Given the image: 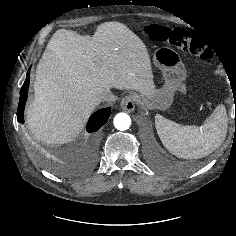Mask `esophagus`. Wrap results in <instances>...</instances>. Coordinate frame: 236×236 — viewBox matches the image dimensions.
I'll return each instance as SVG.
<instances>
[{
	"label": "esophagus",
	"instance_id": "1",
	"mask_svg": "<svg viewBox=\"0 0 236 236\" xmlns=\"http://www.w3.org/2000/svg\"><path fill=\"white\" fill-rule=\"evenodd\" d=\"M135 105H136V95L133 93L126 95L120 103L122 110L129 113L134 111Z\"/></svg>",
	"mask_w": 236,
	"mask_h": 236
}]
</instances>
